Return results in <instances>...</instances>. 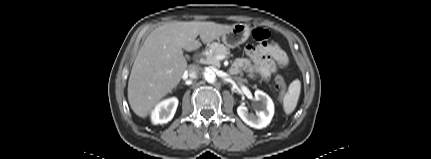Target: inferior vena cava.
Listing matches in <instances>:
<instances>
[{
	"instance_id": "inferior-vena-cava-1",
	"label": "inferior vena cava",
	"mask_w": 431,
	"mask_h": 159,
	"mask_svg": "<svg viewBox=\"0 0 431 159\" xmlns=\"http://www.w3.org/2000/svg\"><path fill=\"white\" fill-rule=\"evenodd\" d=\"M199 67L196 65H190L187 70V75L190 79H195L198 77Z\"/></svg>"
}]
</instances>
